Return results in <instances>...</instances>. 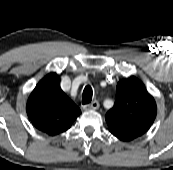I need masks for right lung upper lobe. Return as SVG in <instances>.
I'll return each instance as SVG.
<instances>
[{
	"label": "right lung upper lobe",
	"mask_w": 173,
	"mask_h": 170,
	"mask_svg": "<svg viewBox=\"0 0 173 170\" xmlns=\"http://www.w3.org/2000/svg\"><path fill=\"white\" fill-rule=\"evenodd\" d=\"M27 115L40 131L54 136L71 127L81 110L60 87L56 73L46 75L27 101Z\"/></svg>",
	"instance_id": "cb5924a9"
}]
</instances>
